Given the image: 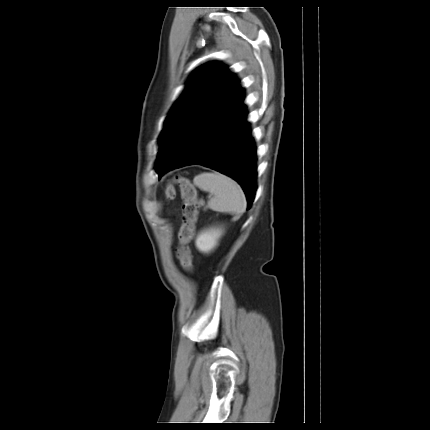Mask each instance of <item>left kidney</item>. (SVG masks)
Returning a JSON list of instances; mask_svg holds the SVG:
<instances>
[{
  "label": "left kidney",
  "instance_id": "5707ae66",
  "mask_svg": "<svg viewBox=\"0 0 430 430\" xmlns=\"http://www.w3.org/2000/svg\"><path fill=\"white\" fill-rule=\"evenodd\" d=\"M223 231L221 228H208L198 233L195 245L197 249L202 253L211 252L218 244V240L221 237Z\"/></svg>",
  "mask_w": 430,
  "mask_h": 430
}]
</instances>
